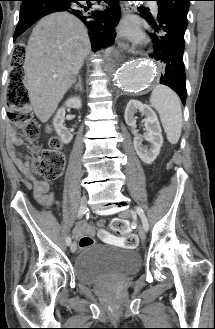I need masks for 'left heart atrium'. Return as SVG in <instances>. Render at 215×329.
<instances>
[{
	"mask_svg": "<svg viewBox=\"0 0 215 329\" xmlns=\"http://www.w3.org/2000/svg\"><path fill=\"white\" fill-rule=\"evenodd\" d=\"M122 35L129 37L131 39L140 38V31L137 24L132 19L125 20L119 27Z\"/></svg>",
	"mask_w": 215,
	"mask_h": 329,
	"instance_id": "39dd6f15",
	"label": "left heart atrium"
}]
</instances>
